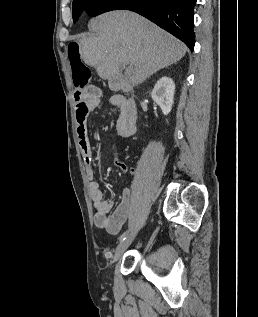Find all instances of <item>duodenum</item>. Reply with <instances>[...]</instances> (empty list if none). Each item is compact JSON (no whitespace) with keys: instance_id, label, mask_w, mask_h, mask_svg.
I'll list each match as a JSON object with an SVG mask.
<instances>
[{"instance_id":"410a0bca","label":"duodenum","mask_w":258,"mask_h":317,"mask_svg":"<svg viewBox=\"0 0 258 317\" xmlns=\"http://www.w3.org/2000/svg\"><path fill=\"white\" fill-rule=\"evenodd\" d=\"M73 96L75 103L78 105L86 99L87 94L83 89H76Z\"/></svg>"}]
</instances>
